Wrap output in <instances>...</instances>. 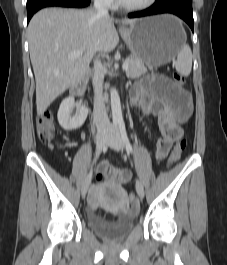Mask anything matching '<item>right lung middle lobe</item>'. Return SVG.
<instances>
[{
  "label": "right lung middle lobe",
  "mask_w": 227,
  "mask_h": 265,
  "mask_svg": "<svg viewBox=\"0 0 227 265\" xmlns=\"http://www.w3.org/2000/svg\"><path fill=\"white\" fill-rule=\"evenodd\" d=\"M30 1H32V0H27V2H30Z\"/></svg>",
  "instance_id": "right-lung-middle-lobe-1"
}]
</instances>
